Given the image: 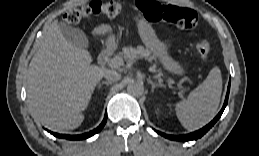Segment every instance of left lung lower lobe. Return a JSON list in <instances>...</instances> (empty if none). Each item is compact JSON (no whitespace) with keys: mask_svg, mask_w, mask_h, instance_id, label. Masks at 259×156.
<instances>
[{"mask_svg":"<svg viewBox=\"0 0 259 156\" xmlns=\"http://www.w3.org/2000/svg\"><path fill=\"white\" fill-rule=\"evenodd\" d=\"M229 90H230V83L228 85L226 98H225L224 105H223L221 111L218 113V115L208 125H206L202 129L197 130L195 132H192L190 134H184V135H179V136L167 135V134H164V133L159 132L157 130H155V131L158 134H160V135H162V136H164L168 139L176 140V141H189V140H196L198 138H201L217 122V120L221 117V115H222V113H223V111H224V109L227 105Z\"/></svg>","mask_w":259,"mask_h":156,"instance_id":"obj_1","label":"left lung lower lobe"}]
</instances>
